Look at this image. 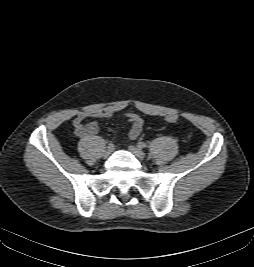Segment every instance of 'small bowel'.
<instances>
[{
  "label": "small bowel",
  "instance_id": "obj_1",
  "mask_svg": "<svg viewBox=\"0 0 254 267\" xmlns=\"http://www.w3.org/2000/svg\"><path fill=\"white\" fill-rule=\"evenodd\" d=\"M113 115L114 112L111 110H94L80 112L73 120L74 130L76 134L81 136L96 135L98 133V125L95 122H90L84 125L83 121L87 118H109ZM126 117L131 125L128 136L131 140H134L140 135L143 129V120L139 115L134 113H128Z\"/></svg>",
  "mask_w": 254,
  "mask_h": 267
}]
</instances>
